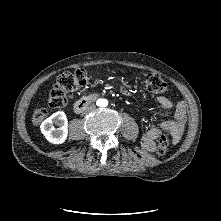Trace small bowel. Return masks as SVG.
Instances as JSON below:
<instances>
[{"mask_svg":"<svg viewBox=\"0 0 221 221\" xmlns=\"http://www.w3.org/2000/svg\"><path fill=\"white\" fill-rule=\"evenodd\" d=\"M121 91L128 95L129 91L126 88H122ZM158 102L160 104V110L162 112H168L172 108V102L165 96H159ZM186 118V108L183 102H179L176 106L175 119L164 121L160 126L152 125L142 136L143 146L153 151L155 149V141L159 137L161 130L171 131L176 140H178L182 134Z\"/></svg>","mask_w":221,"mask_h":221,"instance_id":"small-bowel-1","label":"small bowel"}]
</instances>
